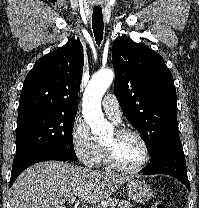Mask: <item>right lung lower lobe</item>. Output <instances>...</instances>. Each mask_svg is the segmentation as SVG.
<instances>
[{
  "instance_id": "1",
  "label": "right lung lower lobe",
  "mask_w": 199,
  "mask_h": 208,
  "mask_svg": "<svg viewBox=\"0 0 199 208\" xmlns=\"http://www.w3.org/2000/svg\"><path fill=\"white\" fill-rule=\"evenodd\" d=\"M47 160H58V161H70L67 157L55 152H45L33 154L15 164L12 165V173L10 178V186L16 180L18 175L25 170L27 167L34 163L47 161Z\"/></svg>"
}]
</instances>
